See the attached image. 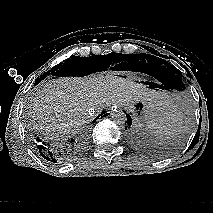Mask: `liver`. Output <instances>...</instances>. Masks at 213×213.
Wrapping results in <instances>:
<instances>
[{
  "label": "liver",
  "instance_id": "6515ba94",
  "mask_svg": "<svg viewBox=\"0 0 213 213\" xmlns=\"http://www.w3.org/2000/svg\"><path fill=\"white\" fill-rule=\"evenodd\" d=\"M166 98L164 93L116 76L57 78L35 93L31 117L34 128L57 140L90 122V109L101 111L113 104L130 107L139 101L165 109Z\"/></svg>",
  "mask_w": 213,
  "mask_h": 213
}]
</instances>
